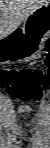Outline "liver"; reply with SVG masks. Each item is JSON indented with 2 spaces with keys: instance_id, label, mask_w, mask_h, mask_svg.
<instances>
[{
  "instance_id": "6515ba94",
  "label": "liver",
  "mask_w": 50,
  "mask_h": 148,
  "mask_svg": "<svg viewBox=\"0 0 50 148\" xmlns=\"http://www.w3.org/2000/svg\"><path fill=\"white\" fill-rule=\"evenodd\" d=\"M48 0H1L0 37L13 33L37 9L48 5Z\"/></svg>"
}]
</instances>
